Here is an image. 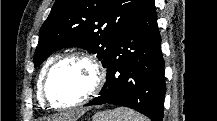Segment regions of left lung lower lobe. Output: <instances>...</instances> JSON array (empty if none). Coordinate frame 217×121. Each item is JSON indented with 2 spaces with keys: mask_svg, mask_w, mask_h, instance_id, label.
<instances>
[{
  "mask_svg": "<svg viewBox=\"0 0 217 121\" xmlns=\"http://www.w3.org/2000/svg\"><path fill=\"white\" fill-rule=\"evenodd\" d=\"M164 66L154 0H140L105 65L106 82L99 96L86 105L126 106L162 121Z\"/></svg>",
  "mask_w": 217,
  "mask_h": 121,
  "instance_id": "left-lung-lower-lobe-1",
  "label": "left lung lower lobe"
}]
</instances>
